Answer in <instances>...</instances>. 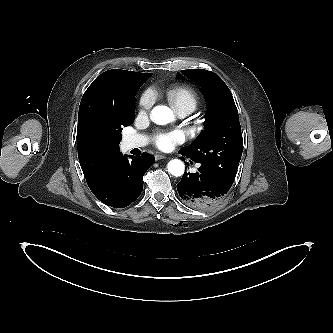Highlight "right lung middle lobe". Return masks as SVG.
<instances>
[{
  "instance_id": "obj_1",
  "label": "right lung middle lobe",
  "mask_w": 333,
  "mask_h": 333,
  "mask_svg": "<svg viewBox=\"0 0 333 333\" xmlns=\"http://www.w3.org/2000/svg\"><path fill=\"white\" fill-rule=\"evenodd\" d=\"M152 76V73H150L149 78ZM138 91V89L135 91L134 93V97L136 92ZM134 103H135V99H134ZM135 104L133 105V110H132V114L130 116H117L116 117V130L114 132V141L116 143H120L121 141V131L123 127L129 126L133 123L134 119H135Z\"/></svg>"
}]
</instances>
